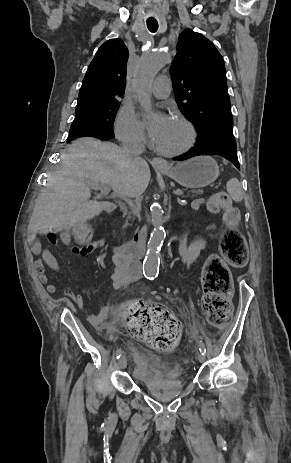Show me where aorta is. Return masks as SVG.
I'll return each mask as SVG.
<instances>
[{
  "mask_svg": "<svg viewBox=\"0 0 291 463\" xmlns=\"http://www.w3.org/2000/svg\"><path fill=\"white\" fill-rule=\"evenodd\" d=\"M170 61L171 57L168 53L159 51H148L141 58L134 78V89L137 99L145 111H150L152 107L150 96L154 78ZM163 223L162 207L156 203L152 207L153 231L143 262V272L147 277H154L158 273L160 264L159 250L166 236Z\"/></svg>",
  "mask_w": 291,
  "mask_h": 463,
  "instance_id": "obj_1",
  "label": "aorta"
}]
</instances>
